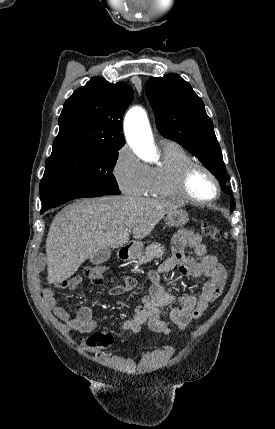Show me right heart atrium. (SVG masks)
Returning a JSON list of instances; mask_svg holds the SVG:
<instances>
[{
    "mask_svg": "<svg viewBox=\"0 0 275 429\" xmlns=\"http://www.w3.org/2000/svg\"><path fill=\"white\" fill-rule=\"evenodd\" d=\"M113 175L121 191L130 196L144 195L150 180V168L127 146L116 153Z\"/></svg>",
    "mask_w": 275,
    "mask_h": 429,
    "instance_id": "d8ad5b80",
    "label": "right heart atrium"
}]
</instances>
